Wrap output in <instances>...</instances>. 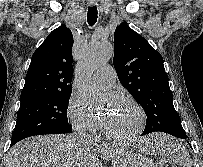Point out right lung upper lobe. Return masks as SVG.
<instances>
[{"mask_svg": "<svg viewBox=\"0 0 203 167\" xmlns=\"http://www.w3.org/2000/svg\"><path fill=\"white\" fill-rule=\"evenodd\" d=\"M73 35L61 25L32 55L20 101L37 96L72 92Z\"/></svg>", "mask_w": 203, "mask_h": 167, "instance_id": "1", "label": "right lung upper lobe"}]
</instances>
